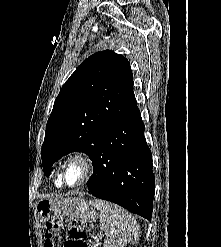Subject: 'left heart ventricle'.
<instances>
[{"instance_id": "left-heart-ventricle-1", "label": "left heart ventricle", "mask_w": 221, "mask_h": 247, "mask_svg": "<svg viewBox=\"0 0 221 247\" xmlns=\"http://www.w3.org/2000/svg\"><path fill=\"white\" fill-rule=\"evenodd\" d=\"M82 174L80 165L71 163L66 169V182L68 184H75L81 179Z\"/></svg>"}]
</instances>
